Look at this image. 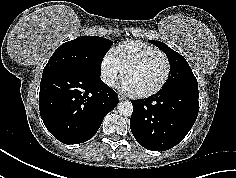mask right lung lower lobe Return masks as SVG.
Segmentation results:
<instances>
[{
    "label": "right lung lower lobe",
    "instance_id": "98d812e1",
    "mask_svg": "<svg viewBox=\"0 0 236 178\" xmlns=\"http://www.w3.org/2000/svg\"><path fill=\"white\" fill-rule=\"evenodd\" d=\"M117 104V93L100 77L61 69L42 74L41 118L49 132L64 144H79L92 138L105 115Z\"/></svg>",
    "mask_w": 236,
    "mask_h": 178
}]
</instances>
